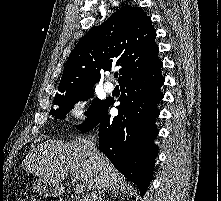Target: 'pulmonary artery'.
I'll list each match as a JSON object with an SVG mask.
<instances>
[{
	"mask_svg": "<svg viewBox=\"0 0 221 201\" xmlns=\"http://www.w3.org/2000/svg\"><path fill=\"white\" fill-rule=\"evenodd\" d=\"M103 87L104 90L108 93H111L114 90V85L111 82H105Z\"/></svg>",
	"mask_w": 221,
	"mask_h": 201,
	"instance_id": "obj_1",
	"label": "pulmonary artery"
}]
</instances>
